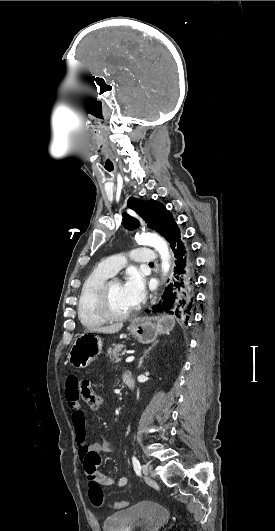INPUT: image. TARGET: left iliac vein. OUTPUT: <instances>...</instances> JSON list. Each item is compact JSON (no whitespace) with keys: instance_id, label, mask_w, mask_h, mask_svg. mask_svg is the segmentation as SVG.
I'll list each match as a JSON object with an SVG mask.
<instances>
[{"instance_id":"1","label":"left iliac vein","mask_w":275,"mask_h":531,"mask_svg":"<svg viewBox=\"0 0 275 531\" xmlns=\"http://www.w3.org/2000/svg\"><path fill=\"white\" fill-rule=\"evenodd\" d=\"M141 470L144 474V479L147 483H151V484H154L155 481L148 475V472H149V467L147 465H142L141 466Z\"/></svg>"}]
</instances>
